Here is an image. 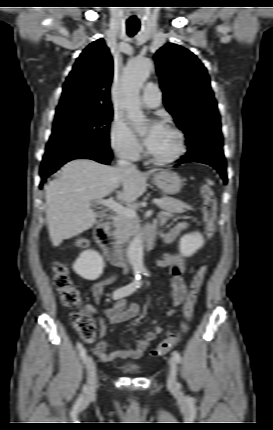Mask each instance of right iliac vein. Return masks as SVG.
Masks as SVG:
<instances>
[{"mask_svg": "<svg viewBox=\"0 0 273 430\" xmlns=\"http://www.w3.org/2000/svg\"><path fill=\"white\" fill-rule=\"evenodd\" d=\"M87 387L86 398H92L95 395L97 387L96 366L91 356L87 357Z\"/></svg>", "mask_w": 273, "mask_h": 430, "instance_id": "1", "label": "right iliac vein"}]
</instances>
